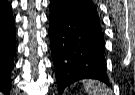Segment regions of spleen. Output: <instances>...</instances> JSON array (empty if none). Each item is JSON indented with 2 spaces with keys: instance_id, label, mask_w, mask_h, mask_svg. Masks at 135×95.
<instances>
[{
  "instance_id": "obj_1",
  "label": "spleen",
  "mask_w": 135,
  "mask_h": 95,
  "mask_svg": "<svg viewBox=\"0 0 135 95\" xmlns=\"http://www.w3.org/2000/svg\"><path fill=\"white\" fill-rule=\"evenodd\" d=\"M83 86L89 95H110V90L101 82L89 80L85 81Z\"/></svg>"
}]
</instances>
